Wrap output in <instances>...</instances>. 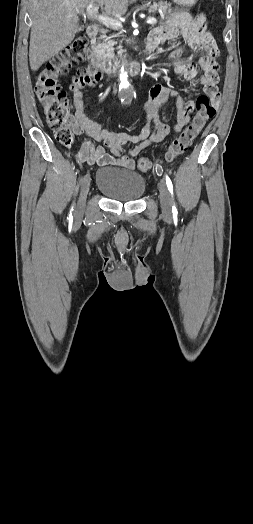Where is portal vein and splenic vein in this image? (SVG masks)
Listing matches in <instances>:
<instances>
[{"instance_id": "obj_1", "label": "portal vein and splenic vein", "mask_w": 253, "mask_h": 524, "mask_svg": "<svg viewBox=\"0 0 253 524\" xmlns=\"http://www.w3.org/2000/svg\"><path fill=\"white\" fill-rule=\"evenodd\" d=\"M86 11L89 16L94 17L95 19H97L99 22H101L102 24L106 26H111L113 28L122 27V24L118 20L112 17L106 16V15H99L98 6L93 3L87 6ZM147 23L151 25H155L157 23V19L154 17H149L147 19Z\"/></svg>"}]
</instances>
